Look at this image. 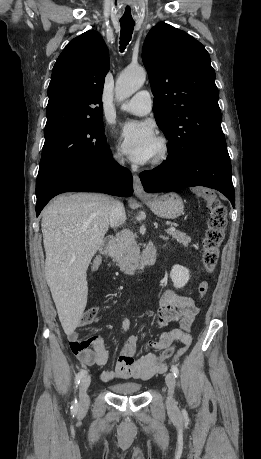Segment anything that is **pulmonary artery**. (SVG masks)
I'll list each match as a JSON object with an SVG mask.
<instances>
[{"instance_id": "e3ab8cb5", "label": "pulmonary artery", "mask_w": 261, "mask_h": 459, "mask_svg": "<svg viewBox=\"0 0 261 459\" xmlns=\"http://www.w3.org/2000/svg\"><path fill=\"white\" fill-rule=\"evenodd\" d=\"M152 108V98L147 90L137 92L130 100L120 106L122 111L134 115H146Z\"/></svg>"}]
</instances>
